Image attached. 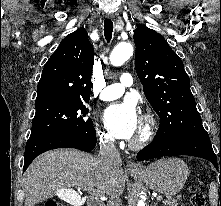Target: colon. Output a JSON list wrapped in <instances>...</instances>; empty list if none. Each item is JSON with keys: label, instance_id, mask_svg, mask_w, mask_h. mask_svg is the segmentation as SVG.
Masks as SVG:
<instances>
[{"label": "colon", "instance_id": "5ec220e1", "mask_svg": "<svg viewBox=\"0 0 221 206\" xmlns=\"http://www.w3.org/2000/svg\"><path fill=\"white\" fill-rule=\"evenodd\" d=\"M190 196H191L192 206H206V197L196 186H192L190 188ZM44 206H59V205L55 201L49 200L44 203Z\"/></svg>", "mask_w": 221, "mask_h": 206}]
</instances>
